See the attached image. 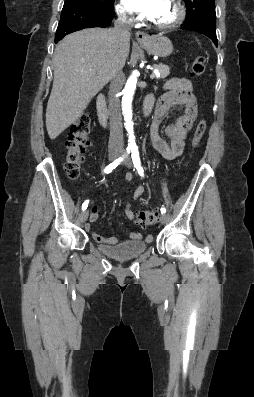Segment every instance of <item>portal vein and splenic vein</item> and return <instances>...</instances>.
<instances>
[{
	"label": "portal vein and splenic vein",
	"instance_id": "obj_1",
	"mask_svg": "<svg viewBox=\"0 0 254 397\" xmlns=\"http://www.w3.org/2000/svg\"><path fill=\"white\" fill-rule=\"evenodd\" d=\"M158 74H159L158 70H154L153 73L151 74L150 78L153 79Z\"/></svg>",
	"mask_w": 254,
	"mask_h": 397
}]
</instances>
